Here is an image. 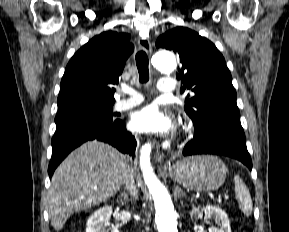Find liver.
<instances>
[{
    "mask_svg": "<svg viewBox=\"0 0 289 232\" xmlns=\"http://www.w3.org/2000/svg\"><path fill=\"white\" fill-rule=\"evenodd\" d=\"M129 168V158L103 142L89 141L71 152L51 179L48 213L53 228L60 231L73 213L113 197Z\"/></svg>",
    "mask_w": 289,
    "mask_h": 232,
    "instance_id": "1",
    "label": "liver"
}]
</instances>
